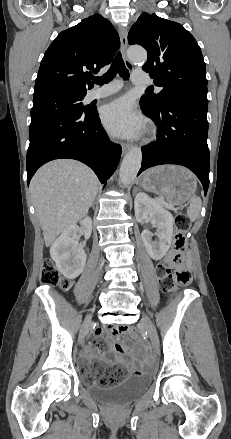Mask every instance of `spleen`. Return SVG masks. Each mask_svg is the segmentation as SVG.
I'll return each instance as SVG.
<instances>
[{
    "label": "spleen",
    "instance_id": "3e777b00",
    "mask_svg": "<svg viewBox=\"0 0 231 439\" xmlns=\"http://www.w3.org/2000/svg\"><path fill=\"white\" fill-rule=\"evenodd\" d=\"M201 210V199L198 196H194L191 199L190 206L187 210V216L191 221H195L200 214Z\"/></svg>",
    "mask_w": 231,
    "mask_h": 439
}]
</instances>
